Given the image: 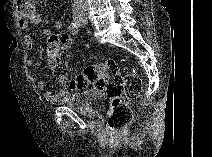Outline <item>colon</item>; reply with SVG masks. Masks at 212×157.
<instances>
[{
	"label": "colon",
	"mask_w": 212,
	"mask_h": 157,
	"mask_svg": "<svg viewBox=\"0 0 212 157\" xmlns=\"http://www.w3.org/2000/svg\"><path fill=\"white\" fill-rule=\"evenodd\" d=\"M70 44L71 39L65 35L49 38L45 59L50 71L60 82H70L73 88H81L89 84L111 96L113 102L107 126L112 133L121 131L132 120V111L121 98H136L140 94L142 82L138 73L128 70L123 74L117 62L110 59L87 66L81 75L70 80L67 66Z\"/></svg>",
	"instance_id": "colon-1"
}]
</instances>
